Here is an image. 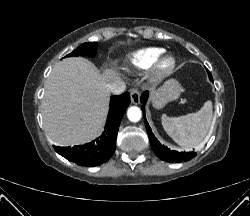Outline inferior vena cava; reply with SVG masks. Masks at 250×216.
Segmentation results:
<instances>
[{
	"label": "inferior vena cava",
	"mask_w": 250,
	"mask_h": 216,
	"mask_svg": "<svg viewBox=\"0 0 250 216\" xmlns=\"http://www.w3.org/2000/svg\"><path fill=\"white\" fill-rule=\"evenodd\" d=\"M126 89L123 81H116L107 85V90L115 95L122 94Z\"/></svg>",
	"instance_id": "inferior-vena-cava-1"
}]
</instances>
